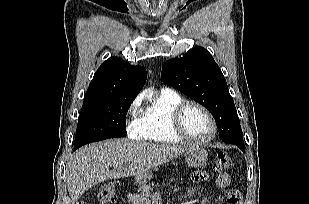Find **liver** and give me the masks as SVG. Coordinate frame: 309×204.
<instances>
[{
	"label": "liver",
	"mask_w": 309,
	"mask_h": 204,
	"mask_svg": "<svg viewBox=\"0 0 309 204\" xmlns=\"http://www.w3.org/2000/svg\"><path fill=\"white\" fill-rule=\"evenodd\" d=\"M188 149L129 139H109L81 147L66 165L71 200L77 202L85 191L103 181L146 173ZM109 166L114 169L109 170Z\"/></svg>",
	"instance_id": "liver-1"
}]
</instances>
